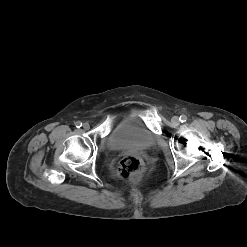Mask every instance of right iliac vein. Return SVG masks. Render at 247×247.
Wrapping results in <instances>:
<instances>
[{
    "label": "right iliac vein",
    "instance_id": "63e3f726",
    "mask_svg": "<svg viewBox=\"0 0 247 247\" xmlns=\"http://www.w3.org/2000/svg\"><path fill=\"white\" fill-rule=\"evenodd\" d=\"M83 128H84L85 130H89V129H90V125H89L88 123H84V124H83Z\"/></svg>",
    "mask_w": 247,
    "mask_h": 247
}]
</instances>
